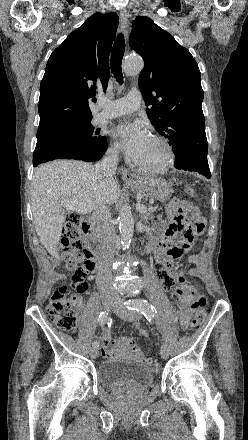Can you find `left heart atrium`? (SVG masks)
Returning <instances> with one entry per match:
<instances>
[{"label": "left heart atrium", "instance_id": "left-heart-atrium-1", "mask_svg": "<svg viewBox=\"0 0 248 440\" xmlns=\"http://www.w3.org/2000/svg\"><path fill=\"white\" fill-rule=\"evenodd\" d=\"M113 134L128 157L135 162L142 158L151 141L146 126L139 120L119 123L115 126Z\"/></svg>", "mask_w": 248, "mask_h": 440}]
</instances>
